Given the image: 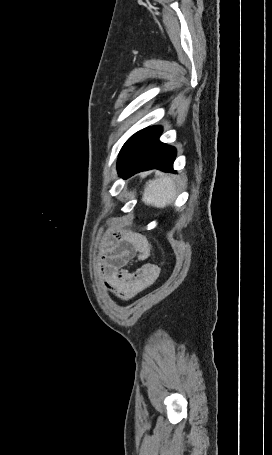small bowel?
I'll use <instances>...</instances> for the list:
<instances>
[{"instance_id": "c3829d8e", "label": "small bowel", "mask_w": 272, "mask_h": 455, "mask_svg": "<svg viewBox=\"0 0 272 455\" xmlns=\"http://www.w3.org/2000/svg\"><path fill=\"white\" fill-rule=\"evenodd\" d=\"M150 255L148 240L131 232L116 233L106 243L101 271L106 286L119 298L130 299L151 286L159 277V268L144 263L131 272L133 260L145 261Z\"/></svg>"}]
</instances>
